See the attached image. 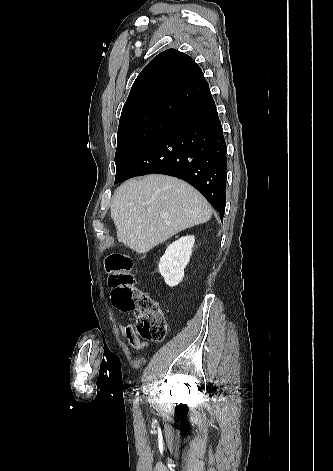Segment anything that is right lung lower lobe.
I'll use <instances>...</instances> for the list:
<instances>
[{
  "label": "right lung lower lobe",
  "instance_id": "98d812e1",
  "mask_svg": "<svg viewBox=\"0 0 333 471\" xmlns=\"http://www.w3.org/2000/svg\"><path fill=\"white\" fill-rule=\"evenodd\" d=\"M226 143L210 91L184 109L115 181L159 173L180 178L202 193L222 219L226 197Z\"/></svg>",
  "mask_w": 333,
  "mask_h": 471
}]
</instances>
